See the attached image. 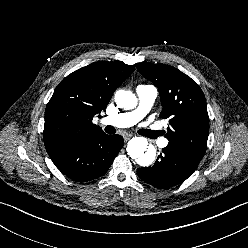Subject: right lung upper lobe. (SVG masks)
I'll return each mask as SVG.
<instances>
[{
    "mask_svg": "<svg viewBox=\"0 0 248 248\" xmlns=\"http://www.w3.org/2000/svg\"><path fill=\"white\" fill-rule=\"evenodd\" d=\"M134 71L133 65L94 62L80 68L55 89L45 111L44 144L48 153L68 142L103 132L93 117Z\"/></svg>",
    "mask_w": 248,
    "mask_h": 248,
    "instance_id": "1",
    "label": "right lung upper lobe"
}]
</instances>
